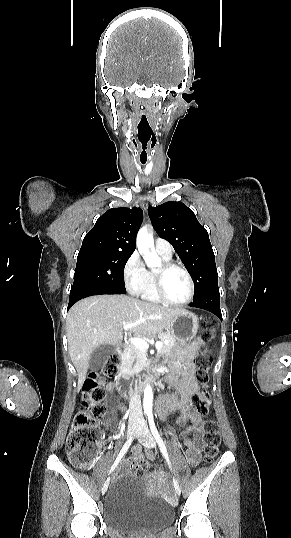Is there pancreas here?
Listing matches in <instances>:
<instances>
[{"label": "pancreas", "instance_id": "1", "mask_svg": "<svg viewBox=\"0 0 291 538\" xmlns=\"http://www.w3.org/2000/svg\"><path fill=\"white\" fill-rule=\"evenodd\" d=\"M158 338L162 341L168 340V344L163 343L162 347L158 349L160 354L169 352L176 342L175 337L170 332H161L158 334ZM146 355L147 354L145 351L139 350L135 346H132L129 351L124 352L122 359L125 361H130L131 364H133V371L138 373L144 368Z\"/></svg>", "mask_w": 291, "mask_h": 538}]
</instances>
